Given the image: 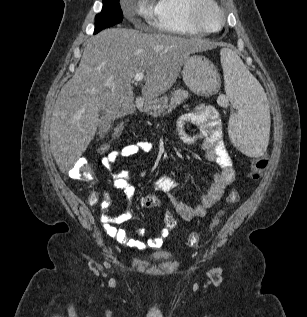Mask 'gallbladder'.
Returning a JSON list of instances; mask_svg holds the SVG:
<instances>
[{
  "label": "gallbladder",
  "instance_id": "obj_1",
  "mask_svg": "<svg viewBox=\"0 0 307 317\" xmlns=\"http://www.w3.org/2000/svg\"><path fill=\"white\" fill-rule=\"evenodd\" d=\"M99 119V135L103 137L111 128V119L104 111H100Z\"/></svg>",
  "mask_w": 307,
  "mask_h": 317
}]
</instances>
